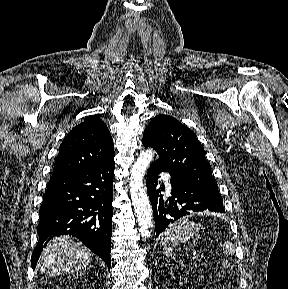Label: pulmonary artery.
<instances>
[{"instance_id":"1","label":"pulmonary artery","mask_w":288,"mask_h":289,"mask_svg":"<svg viewBox=\"0 0 288 289\" xmlns=\"http://www.w3.org/2000/svg\"><path fill=\"white\" fill-rule=\"evenodd\" d=\"M162 178H163V180L166 182V187H167V189L170 190V189H171V185H170L169 176L166 175V174H164V175L162 176Z\"/></svg>"}]
</instances>
